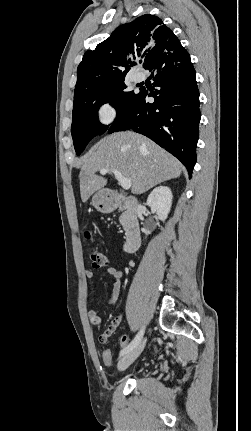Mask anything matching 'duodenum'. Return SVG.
Masks as SVG:
<instances>
[{"label": "duodenum", "instance_id": "1", "mask_svg": "<svg viewBox=\"0 0 251 431\" xmlns=\"http://www.w3.org/2000/svg\"><path fill=\"white\" fill-rule=\"evenodd\" d=\"M111 204L114 209H120L126 213L124 250L134 252L141 242L138 202L133 197L114 195Z\"/></svg>", "mask_w": 251, "mask_h": 431}]
</instances>
